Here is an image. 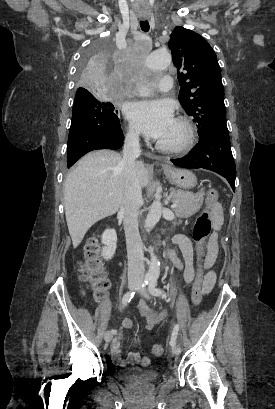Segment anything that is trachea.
I'll use <instances>...</instances> for the list:
<instances>
[{
    "label": "trachea",
    "instance_id": "trachea-1",
    "mask_svg": "<svg viewBox=\"0 0 275 409\" xmlns=\"http://www.w3.org/2000/svg\"><path fill=\"white\" fill-rule=\"evenodd\" d=\"M140 27L143 32H148L149 31V22L147 20H141L140 21Z\"/></svg>",
    "mask_w": 275,
    "mask_h": 409
}]
</instances>
